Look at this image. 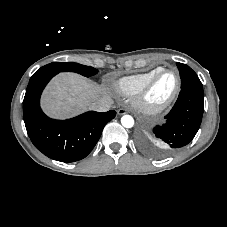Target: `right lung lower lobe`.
Here are the masks:
<instances>
[{
    "label": "right lung lower lobe",
    "instance_id": "right-lung-lower-lobe-1",
    "mask_svg": "<svg viewBox=\"0 0 227 227\" xmlns=\"http://www.w3.org/2000/svg\"><path fill=\"white\" fill-rule=\"evenodd\" d=\"M55 73L32 76L23 101L27 133L44 155L61 162H74L86 157L98 142L104 126L116 112L89 111L68 120L47 117L40 108V96Z\"/></svg>",
    "mask_w": 227,
    "mask_h": 227
}]
</instances>
